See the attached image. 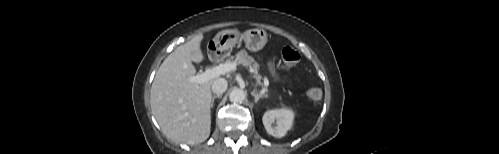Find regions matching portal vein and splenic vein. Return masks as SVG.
I'll list each match as a JSON object with an SVG mask.
<instances>
[{
    "label": "portal vein and splenic vein",
    "instance_id": "18ae733b",
    "mask_svg": "<svg viewBox=\"0 0 499 154\" xmlns=\"http://www.w3.org/2000/svg\"><path fill=\"white\" fill-rule=\"evenodd\" d=\"M236 66H237L236 61L226 62V63L220 64L216 67L208 68L203 73L192 76L188 80L190 82L202 84V83H205V82H207L211 79H214L220 75H223V74H226L228 72L235 70ZM268 83H269L268 80L265 79V86H268ZM265 90H266V88L263 89V91H265Z\"/></svg>",
    "mask_w": 499,
    "mask_h": 154
}]
</instances>
